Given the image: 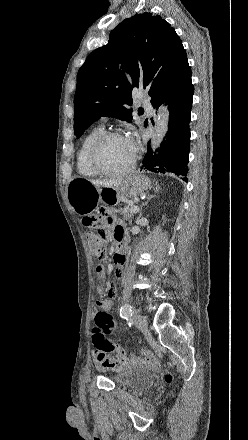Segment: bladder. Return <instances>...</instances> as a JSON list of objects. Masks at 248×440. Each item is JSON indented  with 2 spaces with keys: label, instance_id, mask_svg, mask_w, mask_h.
Returning <instances> with one entry per match:
<instances>
[{
  "label": "bladder",
  "instance_id": "1",
  "mask_svg": "<svg viewBox=\"0 0 248 440\" xmlns=\"http://www.w3.org/2000/svg\"><path fill=\"white\" fill-rule=\"evenodd\" d=\"M118 386L143 387L152 382L150 371L143 368L122 367L112 376Z\"/></svg>",
  "mask_w": 248,
  "mask_h": 440
}]
</instances>
